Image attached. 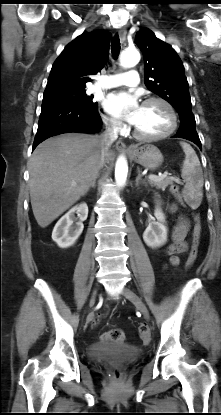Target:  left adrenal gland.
Here are the masks:
<instances>
[{
  "label": "left adrenal gland",
  "mask_w": 221,
  "mask_h": 415,
  "mask_svg": "<svg viewBox=\"0 0 221 415\" xmlns=\"http://www.w3.org/2000/svg\"><path fill=\"white\" fill-rule=\"evenodd\" d=\"M140 183H142V184H144L145 186H147V184H146L145 180H142V178H141V174H140V169L138 168V175H137L136 180H135V185H136V186H139V184H140Z\"/></svg>",
  "instance_id": "a2214340"
}]
</instances>
